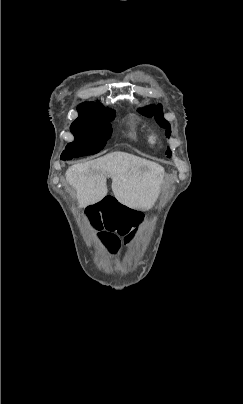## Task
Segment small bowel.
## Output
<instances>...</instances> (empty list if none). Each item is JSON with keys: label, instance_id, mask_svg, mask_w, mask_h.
Returning <instances> with one entry per match:
<instances>
[{"label": "small bowel", "instance_id": "small-bowel-1", "mask_svg": "<svg viewBox=\"0 0 243 404\" xmlns=\"http://www.w3.org/2000/svg\"><path fill=\"white\" fill-rule=\"evenodd\" d=\"M85 216L101 242L112 252L135 238L142 226L140 212L114 194H105L90 204Z\"/></svg>", "mask_w": 243, "mask_h": 404}]
</instances>
